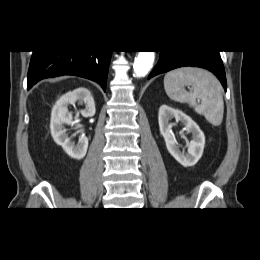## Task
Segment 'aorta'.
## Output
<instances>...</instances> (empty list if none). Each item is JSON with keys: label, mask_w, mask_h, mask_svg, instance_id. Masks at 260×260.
I'll list each match as a JSON object with an SVG mask.
<instances>
[{"label": "aorta", "mask_w": 260, "mask_h": 260, "mask_svg": "<svg viewBox=\"0 0 260 260\" xmlns=\"http://www.w3.org/2000/svg\"><path fill=\"white\" fill-rule=\"evenodd\" d=\"M154 59V51H140L133 65L134 76L144 77L152 68Z\"/></svg>", "instance_id": "762f6f07"}]
</instances>
